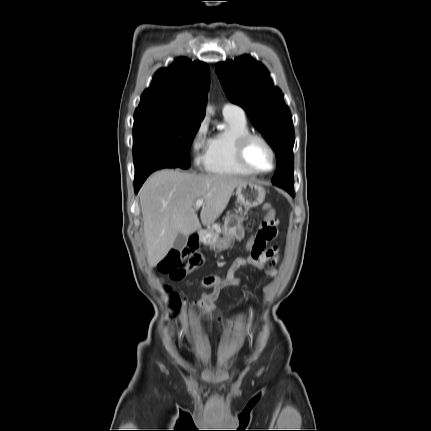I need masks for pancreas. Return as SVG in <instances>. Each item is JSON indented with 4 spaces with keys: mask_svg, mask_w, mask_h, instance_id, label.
<instances>
[{
    "mask_svg": "<svg viewBox=\"0 0 431 431\" xmlns=\"http://www.w3.org/2000/svg\"><path fill=\"white\" fill-rule=\"evenodd\" d=\"M212 230H214L216 232V234H219L222 232L220 226L218 224H213L212 225Z\"/></svg>",
    "mask_w": 431,
    "mask_h": 431,
    "instance_id": "pancreas-1",
    "label": "pancreas"
}]
</instances>
